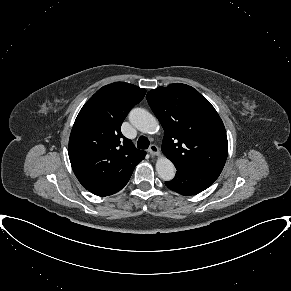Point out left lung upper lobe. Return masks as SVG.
<instances>
[{
    "mask_svg": "<svg viewBox=\"0 0 291 291\" xmlns=\"http://www.w3.org/2000/svg\"><path fill=\"white\" fill-rule=\"evenodd\" d=\"M146 98L165 131V156L175 166L221 173L228 141L214 107L193 87L180 83L151 90Z\"/></svg>",
    "mask_w": 291,
    "mask_h": 291,
    "instance_id": "left-lung-upper-lobe-1",
    "label": "left lung upper lobe"
}]
</instances>
